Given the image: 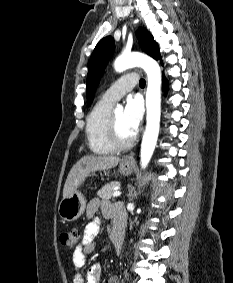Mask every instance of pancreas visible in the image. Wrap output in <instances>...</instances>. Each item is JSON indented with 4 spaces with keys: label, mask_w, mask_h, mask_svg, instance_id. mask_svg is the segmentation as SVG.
<instances>
[{
    "label": "pancreas",
    "mask_w": 233,
    "mask_h": 283,
    "mask_svg": "<svg viewBox=\"0 0 233 283\" xmlns=\"http://www.w3.org/2000/svg\"><path fill=\"white\" fill-rule=\"evenodd\" d=\"M120 186V182L114 181L105 184L100 190L97 192V196H99L102 199H110L113 196L114 188Z\"/></svg>",
    "instance_id": "pancreas-1"
}]
</instances>
